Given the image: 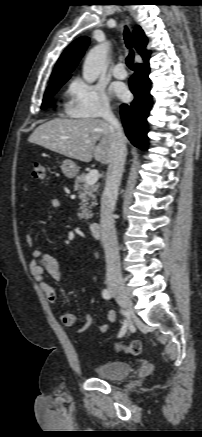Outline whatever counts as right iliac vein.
<instances>
[{"label":"right iliac vein","instance_id":"obj_1","mask_svg":"<svg viewBox=\"0 0 202 437\" xmlns=\"http://www.w3.org/2000/svg\"><path fill=\"white\" fill-rule=\"evenodd\" d=\"M109 289L120 306L126 310L129 318L132 319L134 317L133 303L125 288L122 285L110 283Z\"/></svg>","mask_w":202,"mask_h":437}]
</instances>
